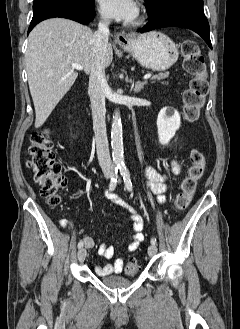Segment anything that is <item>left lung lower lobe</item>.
<instances>
[{
	"mask_svg": "<svg viewBox=\"0 0 240 329\" xmlns=\"http://www.w3.org/2000/svg\"><path fill=\"white\" fill-rule=\"evenodd\" d=\"M149 17V22L138 32H149L171 26L188 28L198 33L212 49L209 36L210 29L204 15L203 3L177 0L165 6L154 16Z\"/></svg>",
	"mask_w": 240,
	"mask_h": 329,
	"instance_id": "0a47b994",
	"label": "left lung lower lobe"
}]
</instances>
